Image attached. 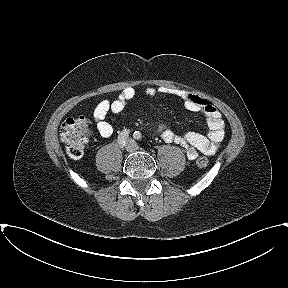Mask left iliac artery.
I'll return each instance as SVG.
<instances>
[{
  "mask_svg": "<svg viewBox=\"0 0 288 288\" xmlns=\"http://www.w3.org/2000/svg\"><path fill=\"white\" fill-rule=\"evenodd\" d=\"M133 137L137 140H141L142 139V135L139 131H135Z\"/></svg>",
  "mask_w": 288,
  "mask_h": 288,
  "instance_id": "1",
  "label": "left iliac artery"
}]
</instances>
